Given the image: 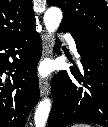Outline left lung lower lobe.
<instances>
[{
    "mask_svg": "<svg viewBox=\"0 0 108 127\" xmlns=\"http://www.w3.org/2000/svg\"><path fill=\"white\" fill-rule=\"evenodd\" d=\"M58 31L71 32L83 70L70 67V72L63 70L54 75L48 126L90 122L108 127V40L82 42L80 34L71 28L61 26Z\"/></svg>",
    "mask_w": 108,
    "mask_h": 127,
    "instance_id": "obj_1",
    "label": "left lung lower lobe"
}]
</instances>
